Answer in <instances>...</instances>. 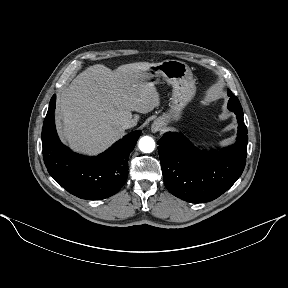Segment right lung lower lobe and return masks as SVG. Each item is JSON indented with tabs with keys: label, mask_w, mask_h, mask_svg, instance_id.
<instances>
[{
	"label": "right lung lower lobe",
	"mask_w": 288,
	"mask_h": 288,
	"mask_svg": "<svg viewBox=\"0 0 288 288\" xmlns=\"http://www.w3.org/2000/svg\"><path fill=\"white\" fill-rule=\"evenodd\" d=\"M56 96L50 100L42 128L45 166L53 179L71 194L88 200H100L116 194L128 176V157L141 134L126 135L96 157H85L64 146L54 123Z\"/></svg>",
	"instance_id": "1"
}]
</instances>
